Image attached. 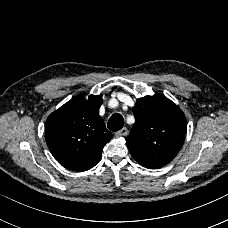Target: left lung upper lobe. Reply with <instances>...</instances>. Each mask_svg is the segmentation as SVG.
<instances>
[{"label":"left lung upper lobe","instance_id":"1","mask_svg":"<svg viewBox=\"0 0 228 228\" xmlns=\"http://www.w3.org/2000/svg\"><path fill=\"white\" fill-rule=\"evenodd\" d=\"M135 124L126 145L132 157L149 169L168 164L184 142L187 121L171 100L155 94L137 99L133 108Z\"/></svg>","mask_w":228,"mask_h":228}]
</instances>
